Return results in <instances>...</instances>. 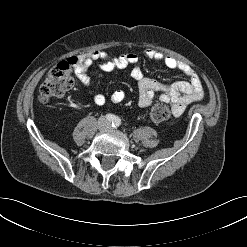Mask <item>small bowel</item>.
<instances>
[{
  "label": "small bowel",
  "mask_w": 247,
  "mask_h": 247,
  "mask_svg": "<svg viewBox=\"0 0 247 247\" xmlns=\"http://www.w3.org/2000/svg\"><path fill=\"white\" fill-rule=\"evenodd\" d=\"M145 56L153 61L160 62L170 69L181 71L188 77L187 82H176L163 84L156 79L147 77L138 65L139 57L134 53H125L117 57H110L102 51H93L82 56L80 64L75 69V74L80 82L89 88L91 84L88 75V68L93 62H98L99 67L104 71H113L133 66L132 78L137 82L141 107H150L156 100L169 103L175 116H180L186 107L195 101L202 99L203 88L198 74L187 64L155 49H147ZM93 101L97 105L106 102L103 93H91ZM126 93L123 90L113 92L111 98L115 103L124 101Z\"/></svg>",
  "instance_id": "c3829d8e"
}]
</instances>
